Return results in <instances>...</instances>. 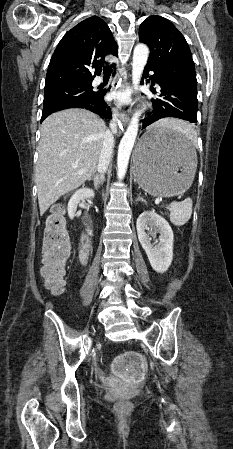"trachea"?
Listing matches in <instances>:
<instances>
[{"label": "trachea", "instance_id": "trachea-1", "mask_svg": "<svg viewBox=\"0 0 233 449\" xmlns=\"http://www.w3.org/2000/svg\"><path fill=\"white\" fill-rule=\"evenodd\" d=\"M111 72H112V68L110 66L106 65L103 67L104 74H111Z\"/></svg>", "mask_w": 233, "mask_h": 449}]
</instances>
